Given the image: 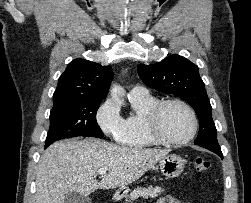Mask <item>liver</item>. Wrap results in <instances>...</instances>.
Listing matches in <instances>:
<instances>
[{
  "instance_id": "1",
  "label": "liver",
  "mask_w": 251,
  "mask_h": 203,
  "mask_svg": "<svg viewBox=\"0 0 251 203\" xmlns=\"http://www.w3.org/2000/svg\"><path fill=\"white\" fill-rule=\"evenodd\" d=\"M170 150L129 148L87 138L49 146L38 164L36 203H64L69 192L88 196L97 189L127 186L143 176ZM105 168L103 179L95 175Z\"/></svg>"
}]
</instances>
